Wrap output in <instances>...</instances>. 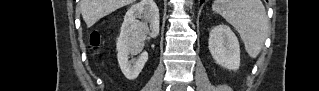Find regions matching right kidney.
<instances>
[{
	"mask_svg": "<svg viewBox=\"0 0 319 91\" xmlns=\"http://www.w3.org/2000/svg\"><path fill=\"white\" fill-rule=\"evenodd\" d=\"M158 34L159 9L154 0H141L132 5L125 14L120 35L116 41L118 63L127 79H136L148 60L147 52L131 60L129 55H136L143 50L147 35L154 38Z\"/></svg>",
	"mask_w": 319,
	"mask_h": 91,
	"instance_id": "ca27d5eb",
	"label": "right kidney"
}]
</instances>
